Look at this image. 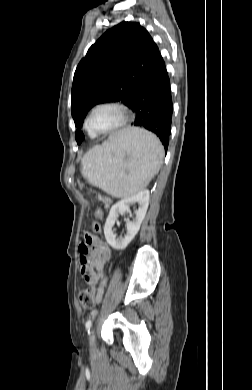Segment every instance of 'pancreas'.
I'll use <instances>...</instances> for the list:
<instances>
[{"label":"pancreas","mask_w":252,"mask_h":390,"mask_svg":"<svg viewBox=\"0 0 252 390\" xmlns=\"http://www.w3.org/2000/svg\"><path fill=\"white\" fill-rule=\"evenodd\" d=\"M102 202L105 205V207H109L112 201L109 198H103Z\"/></svg>","instance_id":"cf45deb5"}]
</instances>
